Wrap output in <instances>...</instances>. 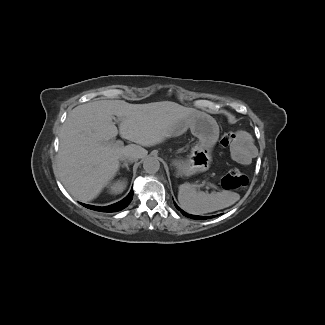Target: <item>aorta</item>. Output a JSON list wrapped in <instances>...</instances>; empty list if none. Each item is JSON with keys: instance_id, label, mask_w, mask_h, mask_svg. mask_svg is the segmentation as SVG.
<instances>
[{"instance_id": "aorta-1", "label": "aorta", "mask_w": 325, "mask_h": 325, "mask_svg": "<svg viewBox=\"0 0 325 325\" xmlns=\"http://www.w3.org/2000/svg\"><path fill=\"white\" fill-rule=\"evenodd\" d=\"M143 168L149 174L156 173L160 168V163L156 157L149 156L143 161Z\"/></svg>"}]
</instances>
